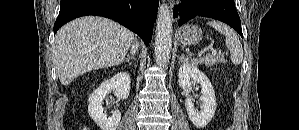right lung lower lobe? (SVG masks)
Masks as SVG:
<instances>
[{
  "instance_id": "98d812e1",
  "label": "right lung lower lobe",
  "mask_w": 299,
  "mask_h": 130,
  "mask_svg": "<svg viewBox=\"0 0 299 130\" xmlns=\"http://www.w3.org/2000/svg\"><path fill=\"white\" fill-rule=\"evenodd\" d=\"M158 6V0H61L54 34L68 21L96 15L119 22L138 34L147 46L152 38Z\"/></svg>"
}]
</instances>
